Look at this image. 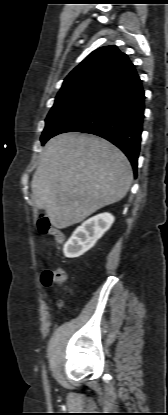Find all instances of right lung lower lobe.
<instances>
[{"instance_id":"1","label":"right lung lower lobe","mask_w":168,"mask_h":415,"mask_svg":"<svg viewBox=\"0 0 168 415\" xmlns=\"http://www.w3.org/2000/svg\"><path fill=\"white\" fill-rule=\"evenodd\" d=\"M144 90L134 69L85 105L54 134L90 133L107 139L128 157L137 172L144 119Z\"/></svg>"}]
</instances>
